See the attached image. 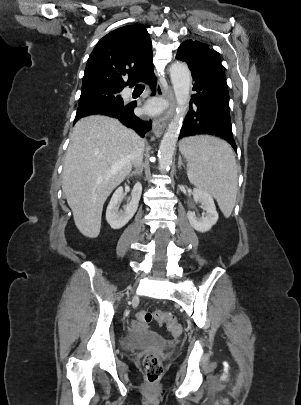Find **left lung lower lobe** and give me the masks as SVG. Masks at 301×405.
Masks as SVG:
<instances>
[{"label":"left lung lower lobe","mask_w":301,"mask_h":405,"mask_svg":"<svg viewBox=\"0 0 301 405\" xmlns=\"http://www.w3.org/2000/svg\"><path fill=\"white\" fill-rule=\"evenodd\" d=\"M189 112L179 139L195 135H214L226 140L237 152L229 113V94L196 70Z\"/></svg>","instance_id":"obj_1"}]
</instances>
